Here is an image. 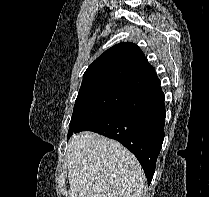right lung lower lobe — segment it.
<instances>
[{
    "label": "right lung lower lobe",
    "mask_w": 209,
    "mask_h": 197,
    "mask_svg": "<svg viewBox=\"0 0 209 197\" xmlns=\"http://www.w3.org/2000/svg\"><path fill=\"white\" fill-rule=\"evenodd\" d=\"M165 116L164 94L159 83L138 92L73 133L94 131L119 141L137 157L150 184L164 139Z\"/></svg>",
    "instance_id": "right-lung-lower-lobe-1"
}]
</instances>
